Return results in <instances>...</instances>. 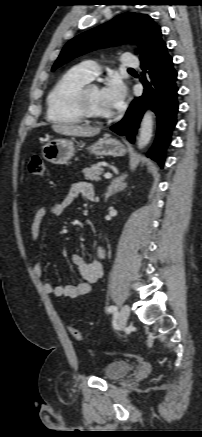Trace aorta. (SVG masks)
Segmentation results:
<instances>
[{
  "label": "aorta",
  "mask_w": 202,
  "mask_h": 437,
  "mask_svg": "<svg viewBox=\"0 0 202 437\" xmlns=\"http://www.w3.org/2000/svg\"><path fill=\"white\" fill-rule=\"evenodd\" d=\"M153 132V116L147 111L142 119L140 134L138 138V148L142 149L150 142Z\"/></svg>",
  "instance_id": "762f6f07"
}]
</instances>
